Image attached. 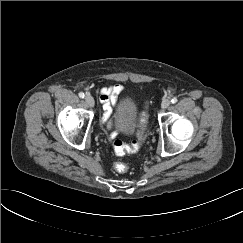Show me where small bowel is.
I'll use <instances>...</instances> for the list:
<instances>
[{"mask_svg":"<svg viewBox=\"0 0 243 243\" xmlns=\"http://www.w3.org/2000/svg\"><path fill=\"white\" fill-rule=\"evenodd\" d=\"M124 87L120 84L110 85L103 87L99 90V100L103 104L104 116L103 121L107 122V127L111 129L112 119H110L113 107L116 106L118 101V95L123 91ZM115 133H112L114 136Z\"/></svg>","mask_w":243,"mask_h":243,"instance_id":"1","label":"small bowel"}]
</instances>
